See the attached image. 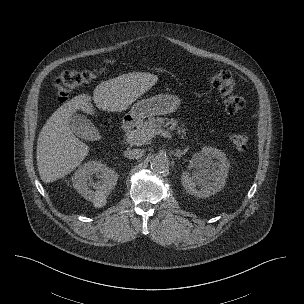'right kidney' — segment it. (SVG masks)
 <instances>
[{
  "label": "right kidney",
  "instance_id": "obj_1",
  "mask_svg": "<svg viewBox=\"0 0 304 304\" xmlns=\"http://www.w3.org/2000/svg\"><path fill=\"white\" fill-rule=\"evenodd\" d=\"M117 180V173L97 160L84 163L72 176L73 187L77 192L86 200L98 202L99 207L105 204Z\"/></svg>",
  "mask_w": 304,
  "mask_h": 304
}]
</instances>
